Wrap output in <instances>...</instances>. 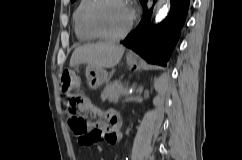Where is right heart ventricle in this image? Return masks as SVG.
Listing matches in <instances>:
<instances>
[{"label":"right heart ventricle","mask_w":242,"mask_h":160,"mask_svg":"<svg viewBox=\"0 0 242 160\" xmlns=\"http://www.w3.org/2000/svg\"><path fill=\"white\" fill-rule=\"evenodd\" d=\"M93 0H79L73 12V27L77 39L81 42H87L98 37L91 32L86 24V12Z\"/></svg>","instance_id":"right-heart-ventricle-1"}]
</instances>
